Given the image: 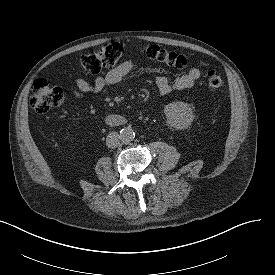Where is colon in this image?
<instances>
[{"label":"colon","instance_id":"1","mask_svg":"<svg viewBox=\"0 0 275 275\" xmlns=\"http://www.w3.org/2000/svg\"><path fill=\"white\" fill-rule=\"evenodd\" d=\"M141 51L149 58L174 68H184L187 59L184 55L160 47L155 44L145 45ZM123 47L118 43H111L100 49L84 54L79 62L81 67L93 74L115 66L123 57ZM205 85L212 92L221 91L225 85L223 76L217 70H209L205 76ZM64 101L63 91L48 83L44 79H37L33 84L31 107L37 114H45L51 108L59 106Z\"/></svg>","mask_w":275,"mask_h":275}]
</instances>
